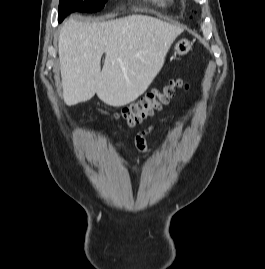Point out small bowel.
Returning a JSON list of instances; mask_svg holds the SVG:
<instances>
[{"mask_svg": "<svg viewBox=\"0 0 265 269\" xmlns=\"http://www.w3.org/2000/svg\"><path fill=\"white\" fill-rule=\"evenodd\" d=\"M181 120L182 116L165 117L159 121L158 125H164L168 123L179 124ZM154 127V125H151L135 136V145L139 151L143 153H150L152 151V149L147 144L146 137L154 129Z\"/></svg>", "mask_w": 265, "mask_h": 269, "instance_id": "1", "label": "small bowel"}]
</instances>
